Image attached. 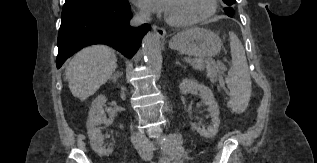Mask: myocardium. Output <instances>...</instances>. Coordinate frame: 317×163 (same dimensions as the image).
Returning a JSON list of instances; mask_svg holds the SVG:
<instances>
[{
    "label": "myocardium",
    "mask_w": 317,
    "mask_h": 163,
    "mask_svg": "<svg viewBox=\"0 0 317 163\" xmlns=\"http://www.w3.org/2000/svg\"><path fill=\"white\" fill-rule=\"evenodd\" d=\"M216 10H217V0H208V8L206 12L196 18H193L187 21H176V20L170 19L169 17L165 15V21L167 24L173 27H178V28L190 27L211 18L215 14Z\"/></svg>",
    "instance_id": "1"
}]
</instances>
